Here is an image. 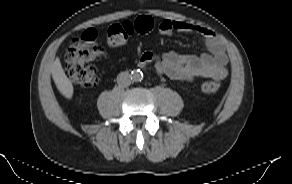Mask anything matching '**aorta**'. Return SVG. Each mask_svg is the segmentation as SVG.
I'll return each instance as SVG.
<instances>
[{"mask_svg":"<svg viewBox=\"0 0 292 184\" xmlns=\"http://www.w3.org/2000/svg\"><path fill=\"white\" fill-rule=\"evenodd\" d=\"M142 77H143V74L139 70H134L131 74V79L132 81H135V82L140 81Z\"/></svg>","mask_w":292,"mask_h":184,"instance_id":"aorta-1","label":"aorta"}]
</instances>
